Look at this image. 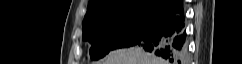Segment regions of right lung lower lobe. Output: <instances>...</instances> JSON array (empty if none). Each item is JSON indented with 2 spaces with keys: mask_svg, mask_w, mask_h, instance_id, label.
I'll list each match as a JSON object with an SVG mask.
<instances>
[{
  "mask_svg": "<svg viewBox=\"0 0 242 64\" xmlns=\"http://www.w3.org/2000/svg\"><path fill=\"white\" fill-rule=\"evenodd\" d=\"M185 16L182 0H175L159 22L136 46L173 64L187 60Z\"/></svg>",
  "mask_w": 242,
  "mask_h": 64,
  "instance_id": "98d812e1",
  "label": "right lung lower lobe"
}]
</instances>
